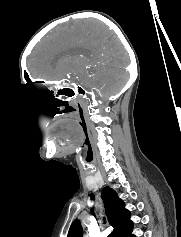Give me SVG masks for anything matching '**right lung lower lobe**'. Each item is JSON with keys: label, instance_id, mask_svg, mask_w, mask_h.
<instances>
[{"label": "right lung lower lobe", "instance_id": "1", "mask_svg": "<svg viewBox=\"0 0 181 237\" xmlns=\"http://www.w3.org/2000/svg\"><path fill=\"white\" fill-rule=\"evenodd\" d=\"M130 237H135V236L131 234Z\"/></svg>", "mask_w": 181, "mask_h": 237}]
</instances>
